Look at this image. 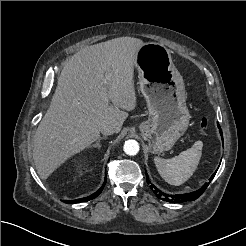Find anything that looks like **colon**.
Returning a JSON list of instances; mask_svg holds the SVG:
<instances>
[{
	"instance_id": "colon-1",
	"label": "colon",
	"mask_w": 246,
	"mask_h": 246,
	"mask_svg": "<svg viewBox=\"0 0 246 246\" xmlns=\"http://www.w3.org/2000/svg\"><path fill=\"white\" fill-rule=\"evenodd\" d=\"M200 126L202 130H207L209 127V119L207 117H203L200 121Z\"/></svg>"
}]
</instances>
